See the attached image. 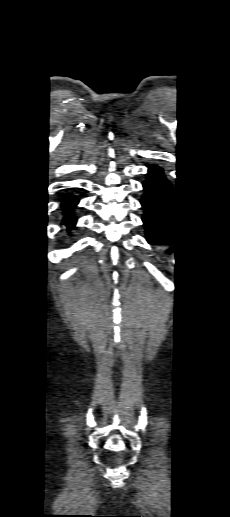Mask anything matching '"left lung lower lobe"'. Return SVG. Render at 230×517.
Instances as JSON below:
<instances>
[{"mask_svg": "<svg viewBox=\"0 0 230 517\" xmlns=\"http://www.w3.org/2000/svg\"><path fill=\"white\" fill-rule=\"evenodd\" d=\"M145 194L141 199L142 217L150 244H167L173 240L174 188L166 180L163 170L150 166L147 181L143 183Z\"/></svg>", "mask_w": 230, "mask_h": 517, "instance_id": "1", "label": "left lung lower lobe"}]
</instances>
